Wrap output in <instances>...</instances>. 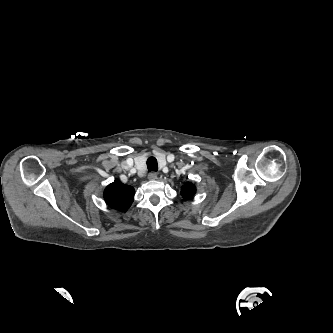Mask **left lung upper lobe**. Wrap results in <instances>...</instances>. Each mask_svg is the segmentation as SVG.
<instances>
[{
  "label": "left lung upper lobe",
  "instance_id": "5c2ea615",
  "mask_svg": "<svg viewBox=\"0 0 333 333\" xmlns=\"http://www.w3.org/2000/svg\"><path fill=\"white\" fill-rule=\"evenodd\" d=\"M196 192V187L191 182L185 183L181 188V195L184 199H190Z\"/></svg>",
  "mask_w": 333,
  "mask_h": 333
}]
</instances>
